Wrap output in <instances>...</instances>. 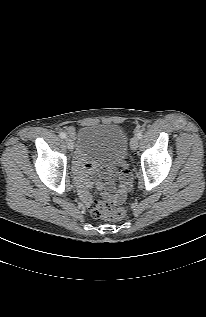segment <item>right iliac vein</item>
<instances>
[{
  "mask_svg": "<svg viewBox=\"0 0 206 317\" xmlns=\"http://www.w3.org/2000/svg\"><path fill=\"white\" fill-rule=\"evenodd\" d=\"M65 143H66L67 148H68L70 151H72V150L74 149V144H73V142H72L71 139L66 138V139H65Z\"/></svg>",
  "mask_w": 206,
  "mask_h": 317,
  "instance_id": "obj_1",
  "label": "right iliac vein"
}]
</instances>
